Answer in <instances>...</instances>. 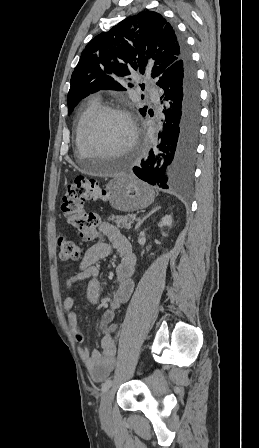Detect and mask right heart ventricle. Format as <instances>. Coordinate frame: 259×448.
I'll use <instances>...</instances> for the list:
<instances>
[{
  "label": "right heart ventricle",
  "mask_w": 259,
  "mask_h": 448,
  "mask_svg": "<svg viewBox=\"0 0 259 448\" xmlns=\"http://www.w3.org/2000/svg\"><path fill=\"white\" fill-rule=\"evenodd\" d=\"M101 106H102L101 101L97 97L90 98L87 101L84 109L80 113V115L76 121V124H75L74 134H73L74 148H80V150H81L80 135H81V130L83 128V125L95 112H97L99 110V108Z\"/></svg>",
  "instance_id": "1"
}]
</instances>
